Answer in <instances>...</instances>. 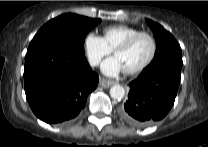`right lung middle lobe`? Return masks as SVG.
<instances>
[{
	"mask_svg": "<svg viewBox=\"0 0 208 147\" xmlns=\"http://www.w3.org/2000/svg\"><path fill=\"white\" fill-rule=\"evenodd\" d=\"M101 22L72 13L60 15L48 21L32 39L28 51L54 43H63L84 54L87 33Z\"/></svg>",
	"mask_w": 208,
	"mask_h": 147,
	"instance_id": "obj_1",
	"label": "right lung middle lobe"
}]
</instances>
